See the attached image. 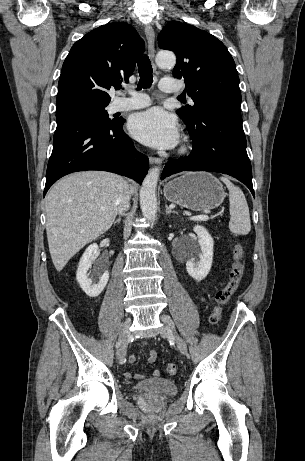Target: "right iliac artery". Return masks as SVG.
Listing matches in <instances>:
<instances>
[{"label": "right iliac artery", "instance_id": "1", "mask_svg": "<svg viewBox=\"0 0 305 461\" xmlns=\"http://www.w3.org/2000/svg\"><path fill=\"white\" fill-rule=\"evenodd\" d=\"M121 341L117 342L116 347L120 346Z\"/></svg>", "mask_w": 305, "mask_h": 461}]
</instances>
